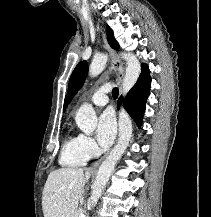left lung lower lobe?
I'll return each instance as SVG.
<instances>
[{
	"instance_id": "1",
	"label": "left lung lower lobe",
	"mask_w": 211,
	"mask_h": 217,
	"mask_svg": "<svg viewBox=\"0 0 211 217\" xmlns=\"http://www.w3.org/2000/svg\"><path fill=\"white\" fill-rule=\"evenodd\" d=\"M151 77L146 64L141 66V74L136 84L129 91L124 100V107L129 115L135 120L137 125H141L145 112L146 100L150 93ZM121 104V98L118 101V107Z\"/></svg>"
}]
</instances>
